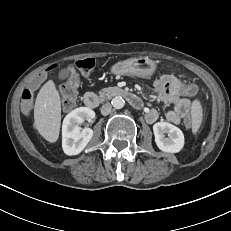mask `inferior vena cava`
Listing matches in <instances>:
<instances>
[{"mask_svg": "<svg viewBox=\"0 0 231 231\" xmlns=\"http://www.w3.org/2000/svg\"><path fill=\"white\" fill-rule=\"evenodd\" d=\"M111 109H112V106L110 105V103H106L101 108V114L106 116L111 112Z\"/></svg>", "mask_w": 231, "mask_h": 231, "instance_id": "inferior-vena-cava-1", "label": "inferior vena cava"}]
</instances>
